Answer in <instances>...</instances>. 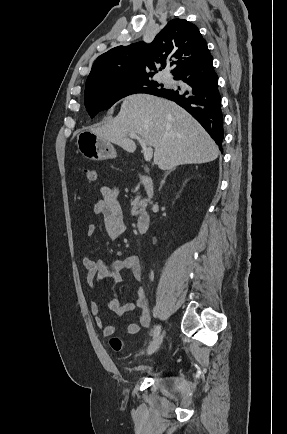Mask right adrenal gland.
<instances>
[{"label":"right adrenal gland","instance_id":"1","mask_svg":"<svg viewBox=\"0 0 287 434\" xmlns=\"http://www.w3.org/2000/svg\"><path fill=\"white\" fill-rule=\"evenodd\" d=\"M170 172H171V171H169V172L166 173L165 178L167 177V175H168Z\"/></svg>","mask_w":287,"mask_h":434}]
</instances>
